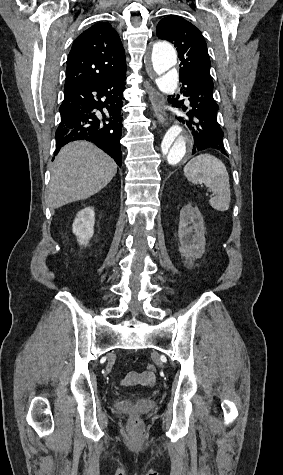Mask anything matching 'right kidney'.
<instances>
[{
    "label": "right kidney",
    "mask_w": 283,
    "mask_h": 475,
    "mask_svg": "<svg viewBox=\"0 0 283 475\" xmlns=\"http://www.w3.org/2000/svg\"><path fill=\"white\" fill-rule=\"evenodd\" d=\"M94 210L93 208H84L78 212L73 224V234L77 236L80 245H87L88 239L92 238L94 234Z\"/></svg>",
    "instance_id": "right-kidney-1"
}]
</instances>
